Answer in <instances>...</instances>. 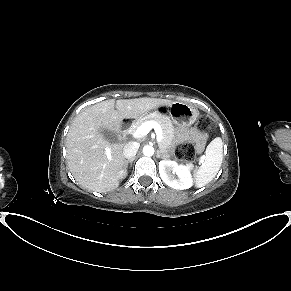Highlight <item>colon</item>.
<instances>
[{
	"label": "colon",
	"mask_w": 291,
	"mask_h": 291,
	"mask_svg": "<svg viewBox=\"0 0 291 291\" xmlns=\"http://www.w3.org/2000/svg\"><path fill=\"white\" fill-rule=\"evenodd\" d=\"M197 127L200 131L210 130L213 127L212 119L207 116L201 117L198 121ZM195 154V147L190 142L182 143L178 145L175 149L176 157L184 161L193 160Z\"/></svg>",
	"instance_id": "1"
}]
</instances>
